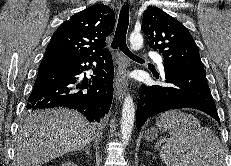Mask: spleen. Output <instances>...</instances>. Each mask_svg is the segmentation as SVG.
<instances>
[{
    "instance_id": "1",
    "label": "spleen",
    "mask_w": 231,
    "mask_h": 166,
    "mask_svg": "<svg viewBox=\"0 0 231 166\" xmlns=\"http://www.w3.org/2000/svg\"><path fill=\"white\" fill-rule=\"evenodd\" d=\"M156 125L170 134L160 151L166 166H225L221 142L195 116L170 110L157 118Z\"/></svg>"
}]
</instances>
